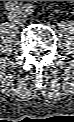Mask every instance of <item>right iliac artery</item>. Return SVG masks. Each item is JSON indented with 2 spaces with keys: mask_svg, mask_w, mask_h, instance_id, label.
<instances>
[{
  "mask_svg": "<svg viewBox=\"0 0 74 122\" xmlns=\"http://www.w3.org/2000/svg\"><path fill=\"white\" fill-rule=\"evenodd\" d=\"M6 9L10 11L17 10L21 7V4L18 3L17 1H9L5 4Z\"/></svg>",
  "mask_w": 74,
  "mask_h": 122,
  "instance_id": "82829eb1",
  "label": "right iliac artery"
}]
</instances>
